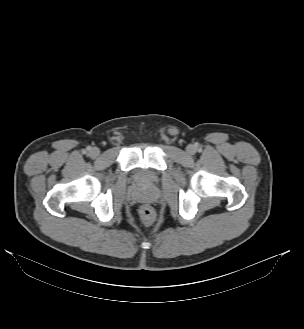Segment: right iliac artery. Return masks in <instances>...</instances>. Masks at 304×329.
I'll return each mask as SVG.
<instances>
[{"mask_svg": "<svg viewBox=\"0 0 304 329\" xmlns=\"http://www.w3.org/2000/svg\"><path fill=\"white\" fill-rule=\"evenodd\" d=\"M90 150V148H87V151H89Z\"/></svg>", "mask_w": 304, "mask_h": 329, "instance_id": "right-iliac-artery-1", "label": "right iliac artery"}]
</instances>
